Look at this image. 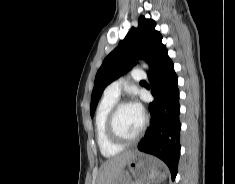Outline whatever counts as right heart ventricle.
<instances>
[{
    "label": "right heart ventricle",
    "mask_w": 235,
    "mask_h": 184,
    "mask_svg": "<svg viewBox=\"0 0 235 184\" xmlns=\"http://www.w3.org/2000/svg\"><path fill=\"white\" fill-rule=\"evenodd\" d=\"M118 99L105 96L99 102L94 117V133L98 146L105 157L117 155L122 150V145L115 143L108 135L106 123L112 107Z\"/></svg>",
    "instance_id": "1"
}]
</instances>
